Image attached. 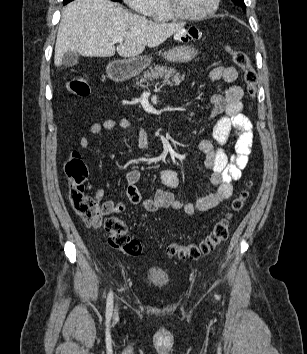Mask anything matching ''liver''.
I'll use <instances>...</instances> for the list:
<instances>
[{
  "label": "liver",
  "instance_id": "obj_1",
  "mask_svg": "<svg viewBox=\"0 0 307 354\" xmlns=\"http://www.w3.org/2000/svg\"><path fill=\"white\" fill-rule=\"evenodd\" d=\"M184 23H154L110 0H74L62 12L55 44V66L71 51L86 57H137L162 44ZM124 38L115 49L112 37Z\"/></svg>",
  "mask_w": 307,
  "mask_h": 354
}]
</instances>
